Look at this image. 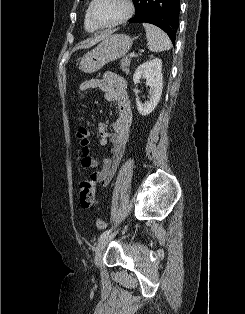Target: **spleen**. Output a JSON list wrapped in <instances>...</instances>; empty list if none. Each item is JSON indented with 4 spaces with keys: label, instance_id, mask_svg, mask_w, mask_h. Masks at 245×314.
<instances>
[{
    "label": "spleen",
    "instance_id": "3e777b00",
    "mask_svg": "<svg viewBox=\"0 0 245 314\" xmlns=\"http://www.w3.org/2000/svg\"><path fill=\"white\" fill-rule=\"evenodd\" d=\"M143 27L146 30L148 49L151 52H162L171 48V41L163 30L149 23H143Z\"/></svg>",
    "mask_w": 245,
    "mask_h": 314
}]
</instances>
